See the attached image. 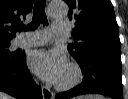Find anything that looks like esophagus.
Returning <instances> with one entry per match:
<instances>
[{
    "instance_id": "esophagus-1",
    "label": "esophagus",
    "mask_w": 128,
    "mask_h": 99,
    "mask_svg": "<svg viewBox=\"0 0 128 99\" xmlns=\"http://www.w3.org/2000/svg\"><path fill=\"white\" fill-rule=\"evenodd\" d=\"M42 95L44 99H53V93L47 86H42Z\"/></svg>"
}]
</instances>
